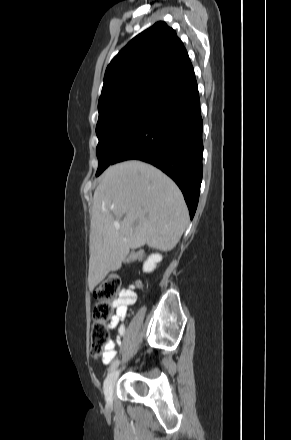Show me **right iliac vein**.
Segmentation results:
<instances>
[{
  "label": "right iliac vein",
  "mask_w": 291,
  "mask_h": 440,
  "mask_svg": "<svg viewBox=\"0 0 291 440\" xmlns=\"http://www.w3.org/2000/svg\"><path fill=\"white\" fill-rule=\"evenodd\" d=\"M118 375H119V371L113 370V371H111V373H109L107 375V377L104 381V394H105V399L108 404L112 403L114 386H115L116 380L118 378Z\"/></svg>",
  "instance_id": "63e3f726"
}]
</instances>
